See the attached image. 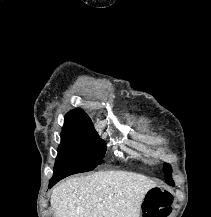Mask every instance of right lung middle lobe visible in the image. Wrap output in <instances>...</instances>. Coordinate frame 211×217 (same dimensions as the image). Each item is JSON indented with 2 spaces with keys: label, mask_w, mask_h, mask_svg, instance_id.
<instances>
[{
  "label": "right lung middle lobe",
  "mask_w": 211,
  "mask_h": 217,
  "mask_svg": "<svg viewBox=\"0 0 211 217\" xmlns=\"http://www.w3.org/2000/svg\"><path fill=\"white\" fill-rule=\"evenodd\" d=\"M106 147L93 127H63L52 179L93 170Z\"/></svg>",
  "instance_id": "1"
}]
</instances>
